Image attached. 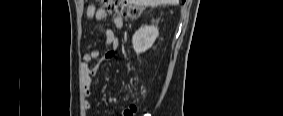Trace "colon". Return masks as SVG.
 Wrapping results in <instances>:
<instances>
[{"instance_id": "5ec220e1", "label": "colon", "mask_w": 283, "mask_h": 116, "mask_svg": "<svg viewBox=\"0 0 283 116\" xmlns=\"http://www.w3.org/2000/svg\"><path fill=\"white\" fill-rule=\"evenodd\" d=\"M108 11L127 19H137L141 14V9L133 1L129 0H103ZM136 112V106L130 105L124 109L123 116H133Z\"/></svg>"}]
</instances>
